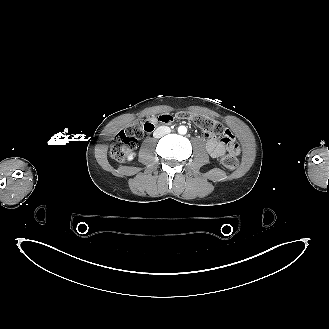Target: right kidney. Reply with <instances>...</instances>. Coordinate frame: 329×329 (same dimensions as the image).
Wrapping results in <instances>:
<instances>
[{
  "mask_svg": "<svg viewBox=\"0 0 329 329\" xmlns=\"http://www.w3.org/2000/svg\"><path fill=\"white\" fill-rule=\"evenodd\" d=\"M133 158H134V153L129 154L127 157L128 161H131Z\"/></svg>",
  "mask_w": 329,
  "mask_h": 329,
  "instance_id": "ca27d5eb",
  "label": "right kidney"
}]
</instances>
